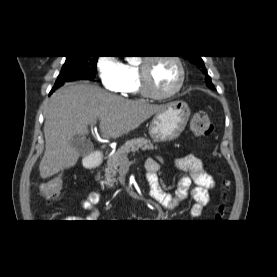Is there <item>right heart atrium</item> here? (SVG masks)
Here are the masks:
<instances>
[{
    "mask_svg": "<svg viewBox=\"0 0 277 277\" xmlns=\"http://www.w3.org/2000/svg\"><path fill=\"white\" fill-rule=\"evenodd\" d=\"M102 85L109 91L123 93L127 84L126 65L116 55H103L97 60Z\"/></svg>",
    "mask_w": 277,
    "mask_h": 277,
    "instance_id": "1",
    "label": "right heart atrium"
}]
</instances>
